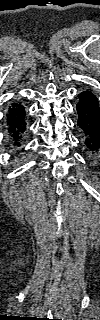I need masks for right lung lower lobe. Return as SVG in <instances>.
<instances>
[{
    "label": "right lung lower lobe",
    "mask_w": 100,
    "mask_h": 320,
    "mask_svg": "<svg viewBox=\"0 0 100 320\" xmlns=\"http://www.w3.org/2000/svg\"><path fill=\"white\" fill-rule=\"evenodd\" d=\"M6 122L8 125L9 135L15 146H20V141L23 139L26 131V112L25 108L20 103H12L9 106Z\"/></svg>",
    "instance_id": "1"
}]
</instances>
